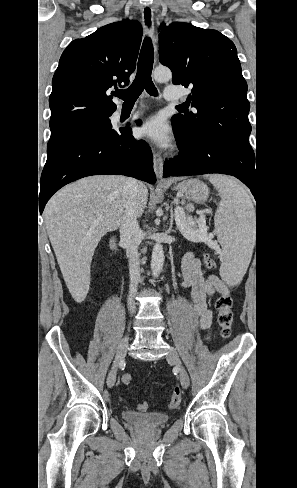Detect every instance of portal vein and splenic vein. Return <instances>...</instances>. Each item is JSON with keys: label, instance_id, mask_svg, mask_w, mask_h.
<instances>
[{"label": "portal vein and splenic vein", "instance_id": "obj_1", "mask_svg": "<svg viewBox=\"0 0 297 488\" xmlns=\"http://www.w3.org/2000/svg\"><path fill=\"white\" fill-rule=\"evenodd\" d=\"M211 210L207 211H197V214L199 215V220L202 222L201 226L202 228L204 227L203 220H204V213H210ZM177 216H176V222L178 226H181L183 228H188L191 232H195L193 229L190 228V224H193V220L190 216H186L185 212L182 208L177 206ZM103 219V216L100 215L98 216L97 220Z\"/></svg>", "mask_w": 297, "mask_h": 488}]
</instances>
